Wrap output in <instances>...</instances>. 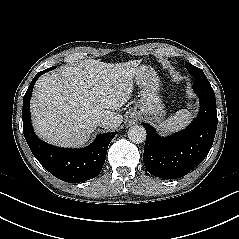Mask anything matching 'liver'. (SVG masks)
<instances>
[{"label": "liver", "instance_id": "liver-1", "mask_svg": "<svg viewBox=\"0 0 239 239\" xmlns=\"http://www.w3.org/2000/svg\"><path fill=\"white\" fill-rule=\"evenodd\" d=\"M139 61L104 63L86 59L43 75L35 84L30 108L37 135L48 143L76 147L88 141L100 117L114 130L120 109L131 97Z\"/></svg>", "mask_w": 239, "mask_h": 239}]
</instances>
